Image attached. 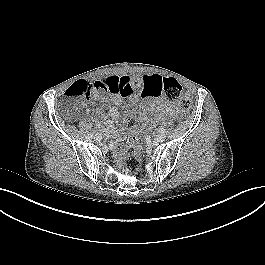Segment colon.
<instances>
[{
	"mask_svg": "<svg viewBox=\"0 0 265 265\" xmlns=\"http://www.w3.org/2000/svg\"><path fill=\"white\" fill-rule=\"evenodd\" d=\"M153 96L163 95L167 101L177 103L184 111L191 107V100L183 94L180 83L173 77H164L161 80H152ZM92 86L100 87L98 84L87 81H77L71 85L66 94L72 98H81L90 94ZM128 127L131 129V136L128 140L127 150L124 157V167L130 173H135L141 164L138 146V132L135 129V118L132 114L126 118Z\"/></svg>",
	"mask_w": 265,
	"mask_h": 265,
	"instance_id": "1",
	"label": "colon"
}]
</instances>
